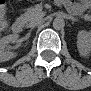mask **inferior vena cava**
<instances>
[{
    "label": "inferior vena cava",
    "instance_id": "obj_1",
    "mask_svg": "<svg viewBox=\"0 0 91 91\" xmlns=\"http://www.w3.org/2000/svg\"><path fill=\"white\" fill-rule=\"evenodd\" d=\"M42 22V18L40 17V18H38V19H36V20H34L33 22H31L30 24H28L27 25V27H35L36 25H38V24H40Z\"/></svg>",
    "mask_w": 91,
    "mask_h": 91
}]
</instances>
